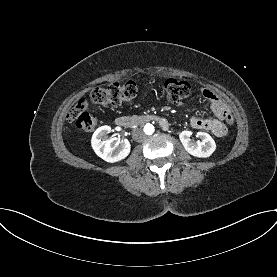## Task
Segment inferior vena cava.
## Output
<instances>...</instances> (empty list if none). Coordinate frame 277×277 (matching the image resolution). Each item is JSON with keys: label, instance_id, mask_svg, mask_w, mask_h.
<instances>
[{"label": "inferior vena cava", "instance_id": "1", "mask_svg": "<svg viewBox=\"0 0 277 277\" xmlns=\"http://www.w3.org/2000/svg\"><path fill=\"white\" fill-rule=\"evenodd\" d=\"M132 137L137 142H142L145 140L146 135L141 129H134L132 133Z\"/></svg>", "mask_w": 277, "mask_h": 277}]
</instances>
